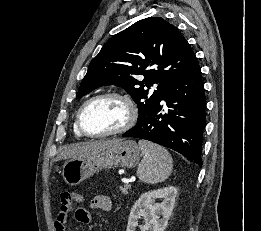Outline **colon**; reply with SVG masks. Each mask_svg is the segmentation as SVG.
<instances>
[{
  "label": "colon",
  "instance_id": "1",
  "mask_svg": "<svg viewBox=\"0 0 261 231\" xmlns=\"http://www.w3.org/2000/svg\"><path fill=\"white\" fill-rule=\"evenodd\" d=\"M79 197L74 192H64L60 196L59 213L68 215L72 211L74 205L79 201Z\"/></svg>",
  "mask_w": 261,
  "mask_h": 231
}]
</instances>
